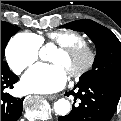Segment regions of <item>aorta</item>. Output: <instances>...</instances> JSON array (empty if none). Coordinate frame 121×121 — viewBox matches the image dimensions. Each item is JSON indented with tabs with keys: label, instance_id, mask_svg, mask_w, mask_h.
Segmentation results:
<instances>
[{
	"label": "aorta",
	"instance_id": "aorta-1",
	"mask_svg": "<svg viewBox=\"0 0 121 121\" xmlns=\"http://www.w3.org/2000/svg\"><path fill=\"white\" fill-rule=\"evenodd\" d=\"M50 46L48 47H43L40 50V57L42 59H46V56L49 52ZM70 102L64 98L58 99L55 103H54V110L56 112V114L61 115V116H65L70 112Z\"/></svg>",
	"mask_w": 121,
	"mask_h": 121
}]
</instances>
